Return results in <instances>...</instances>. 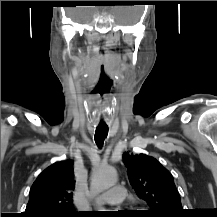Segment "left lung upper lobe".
Returning <instances> with one entry per match:
<instances>
[{
  "mask_svg": "<svg viewBox=\"0 0 217 217\" xmlns=\"http://www.w3.org/2000/svg\"><path fill=\"white\" fill-rule=\"evenodd\" d=\"M130 184L145 200L150 217H182L183 208L173 176L160 162L145 154H123Z\"/></svg>",
  "mask_w": 217,
  "mask_h": 217,
  "instance_id": "5c2ea615",
  "label": "left lung upper lobe"
}]
</instances>
